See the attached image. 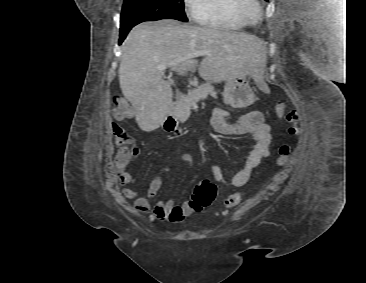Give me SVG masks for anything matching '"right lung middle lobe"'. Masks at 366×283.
<instances>
[{
  "mask_svg": "<svg viewBox=\"0 0 366 283\" xmlns=\"http://www.w3.org/2000/svg\"><path fill=\"white\" fill-rule=\"evenodd\" d=\"M187 22L183 0H124L121 25L160 19Z\"/></svg>",
  "mask_w": 366,
  "mask_h": 283,
  "instance_id": "obj_1",
  "label": "right lung middle lobe"
}]
</instances>
